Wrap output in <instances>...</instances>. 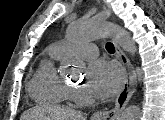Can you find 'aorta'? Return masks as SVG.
I'll list each match as a JSON object with an SVG mask.
<instances>
[{"instance_id": "1", "label": "aorta", "mask_w": 165, "mask_h": 120, "mask_svg": "<svg viewBox=\"0 0 165 120\" xmlns=\"http://www.w3.org/2000/svg\"><path fill=\"white\" fill-rule=\"evenodd\" d=\"M70 34L74 38L85 39L105 38L114 35L123 50L132 55L136 53V46L129 33L119 25L102 19L74 21L70 24ZM140 116L141 110L139 106L133 105L123 111L119 120H139Z\"/></svg>"}]
</instances>
